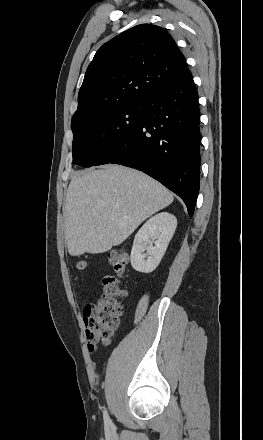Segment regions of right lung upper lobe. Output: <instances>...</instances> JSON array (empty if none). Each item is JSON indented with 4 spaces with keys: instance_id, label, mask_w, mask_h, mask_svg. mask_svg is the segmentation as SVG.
<instances>
[{
    "instance_id": "right-lung-upper-lobe-1",
    "label": "right lung upper lobe",
    "mask_w": 263,
    "mask_h": 440,
    "mask_svg": "<svg viewBox=\"0 0 263 440\" xmlns=\"http://www.w3.org/2000/svg\"><path fill=\"white\" fill-rule=\"evenodd\" d=\"M188 73L183 54L166 30L137 25L102 45L95 54L79 90L71 128L102 110L144 102Z\"/></svg>"
}]
</instances>
